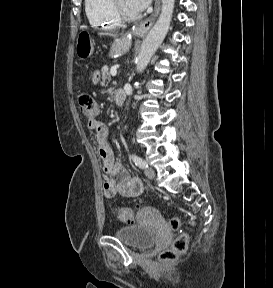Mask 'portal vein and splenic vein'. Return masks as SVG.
<instances>
[{
  "label": "portal vein and splenic vein",
  "instance_id": "18ae733b",
  "mask_svg": "<svg viewBox=\"0 0 273 288\" xmlns=\"http://www.w3.org/2000/svg\"><path fill=\"white\" fill-rule=\"evenodd\" d=\"M117 68H119V65H115V66H113V67L111 68L110 73H111L112 76H116V74H117Z\"/></svg>",
  "mask_w": 273,
  "mask_h": 288
}]
</instances>
